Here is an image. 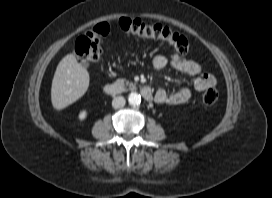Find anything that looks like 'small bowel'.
I'll list each match as a JSON object with an SVG mask.
<instances>
[{"label":"small bowel","instance_id":"obj_1","mask_svg":"<svg viewBox=\"0 0 272 198\" xmlns=\"http://www.w3.org/2000/svg\"><path fill=\"white\" fill-rule=\"evenodd\" d=\"M152 64L157 70L171 67L191 76L193 78L192 88L199 92L216 85V79L213 75L203 72L201 66L197 62L178 53L172 54L169 58L162 54H158L154 57ZM192 88L183 86L171 93L160 89L155 93L154 100L158 104H184L191 98Z\"/></svg>","mask_w":272,"mask_h":198}]
</instances>
